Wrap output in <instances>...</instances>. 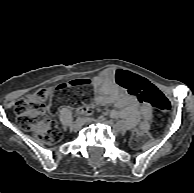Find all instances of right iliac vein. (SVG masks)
<instances>
[{
  "instance_id": "1",
  "label": "right iliac vein",
  "mask_w": 194,
  "mask_h": 193,
  "mask_svg": "<svg viewBox=\"0 0 194 193\" xmlns=\"http://www.w3.org/2000/svg\"><path fill=\"white\" fill-rule=\"evenodd\" d=\"M84 124V121L82 120V121H79V122H74L72 125H71V129L73 130V131H79L80 129H81V127H82V125Z\"/></svg>"
}]
</instances>
